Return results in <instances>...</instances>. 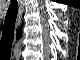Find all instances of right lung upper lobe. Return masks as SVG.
Listing matches in <instances>:
<instances>
[{
  "label": "right lung upper lobe",
  "mask_w": 80,
  "mask_h": 60,
  "mask_svg": "<svg viewBox=\"0 0 80 60\" xmlns=\"http://www.w3.org/2000/svg\"><path fill=\"white\" fill-rule=\"evenodd\" d=\"M21 29L19 30V32H18V35H17V38H19L20 36H21Z\"/></svg>",
  "instance_id": "cb5924a9"
}]
</instances>
